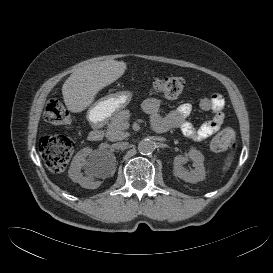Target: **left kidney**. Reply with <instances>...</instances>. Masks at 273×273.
Instances as JSON below:
<instances>
[{
    "instance_id": "left-kidney-1",
    "label": "left kidney",
    "mask_w": 273,
    "mask_h": 273,
    "mask_svg": "<svg viewBox=\"0 0 273 273\" xmlns=\"http://www.w3.org/2000/svg\"><path fill=\"white\" fill-rule=\"evenodd\" d=\"M186 157L193 161L194 170L190 172L183 167V162L185 161ZM203 162V154L196 149H191L185 156L177 155L174 158V174L175 176L189 183L203 181L206 176Z\"/></svg>"
}]
</instances>
